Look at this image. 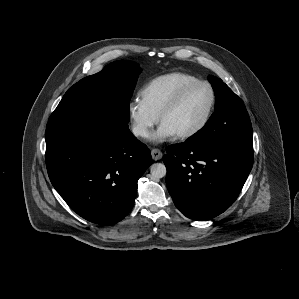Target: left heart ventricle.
<instances>
[{"instance_id": "left-heart-ventricle-1", "label": "left heart ventricle", "mask_w": 299, "mask_h": 299, "mask_svg": "<svg viewBox=\"0 0 299 299\" xmlns=\"http://www.w3.org/2000/svg\"><path fill=\"white\" fill-rule=\"evenodd\" d=\"M210 102L206 86L198 85L187 92L179 105L169 112L161 123L172 129L176 135L187 132L203 119Z\"/></svg>"}]
</instances>
